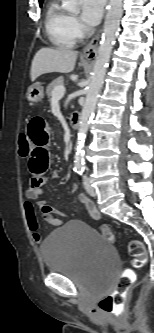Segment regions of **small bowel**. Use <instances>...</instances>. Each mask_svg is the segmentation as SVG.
<instances>
[{
  "instance_id": "small-bowel-1",
  "label": "small bowel",
  "mask_w": 154,
  "mask_h": 333,
  "mask_svg": "<svg viewBox=\"0 0 154 333\" xmlns=\"http://www.w3.org/2000/svg\"><path fill=\"white\" fill-rule=\"evenodd\" d=\"M26 134L32 144V151L28 158V166L32 178L26 191L25 215L34 241L40 244L43 239L38 231V222L31 201H36L43 219L51 225H62L63 221L61 218L65 216V213L50 206L45 200L40 199L43 193L42 188L48 179L47 173L50 166L49 146L51 132L49 125L42 118L34 117L29 121ZM59 176L60 173L57 170L51 174L52 178H58ZM79 200L93 219H100V212L91 200L83 194L79 196Z\"/></svg>"
}]
</instances>
